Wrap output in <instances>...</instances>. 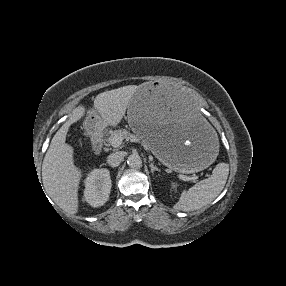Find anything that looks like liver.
I'll use <instances>...</instances> for the list:
<instances>
[{
    "label": "liver",
    "mask_w": 286,
    "mask_h": 286,
    "mask_svg": "<svg viewBox=\"0 0 286 286\" xmlns=\"http://www.w3.org/2000/svg\"><path fill=\"white\" fill-rule=\"evenodd\" d=\"M136 85L100 93L94 100L97 112V130L106 126H117L128 108ZM84 109L77 110L71 118L56 132L45 154L42 164V181L48 196L65 212H78V188L82 176L81 170L74 165V149L66 143V135L71 124L84 116Z\"/></svg>",
    "instance_id": "liver-1"
}]
</instances>
